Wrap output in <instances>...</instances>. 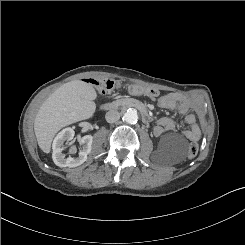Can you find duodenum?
I'll list each match as a JSON object with an SVG mask.
<instances>
[{"label":"duodenum","instance_id":"obj_1","mask_svg":"<svg viewBox=\"0 0 245 245\" xmlns=\"http://www.w3.org/2000/svg\"><path fill=\"white\" fill-rule=\"evenodd\" d=\"M126 104L138 108L140 110L142 117H143V120L145 122L150 121V116H149L147 110L143 106H141L140 104L135 103V102H130V103H126ZM119 105H120L119 103H115V102L107 103L104 105L103 108L105 111H112V110L116 109Z\"/></svg>","mask_w":245,"mask_h":245}]
</instances>
